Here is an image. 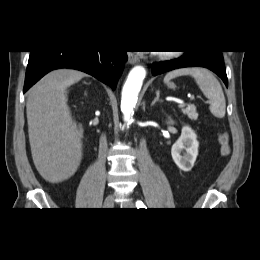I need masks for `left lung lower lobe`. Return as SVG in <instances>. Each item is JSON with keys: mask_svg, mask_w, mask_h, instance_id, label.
Here are the masks:
<instances>
[{"mask_svg": "<svg viewBox=\"0 0 260 260\" xmlns=\"http://www.w3.org/2000/svg\"><path fill=\"white\" fill-rule=\"evenodd\" d=\"M184 67H204L216 73L228 87V80L224 66L222 51L199 50L191 51L182 57L165 62L153 63L152 74L154 76Z\"/></svg>", "mask_w": 260, "mask_h": 260, "instance_id": "1", "label": "left lung lower lobe"}]
</instances>
